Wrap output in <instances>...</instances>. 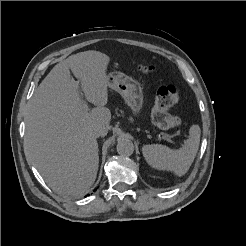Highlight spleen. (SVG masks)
<instances>
[{
  "label": "spleen",
  "mask_w": 246,
  "mask_h": 246,
  "mask_svg": "<svg viewBox=\"0 0 246 246\" xmlns=\"http://www.w3.org/2000/svg\"><path fill=\"white\" fill-rule=\"evenodd\" d=\"M200 127L192 125L189 129V138L177 150L161 144L144 145L142 153L146 162L158 170H168L177 176H183L190 168L197 154L200 144Z\"/></svg>",
  "instance_id": "spleen-1"
}]
</instances>
